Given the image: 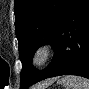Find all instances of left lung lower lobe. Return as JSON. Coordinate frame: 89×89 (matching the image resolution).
<instances>
[{
	"label": "left lung lower lobe",
	"instance_id": "0a47b994",
	"mask_svg": "<svg viewBox=\"0 0 89 89\" xmlns=\"http://www.w3.org/2000/svg\"><path fill=\"white\" fill-rule=\"evenodd\" d=\"M52 47L55 49L52 62L36 74L29 86L60 75L89 79V0L70 2Z\"/></svg>",
	"mask_w": 89,
	"mask_h": 89
}]
</instances>
